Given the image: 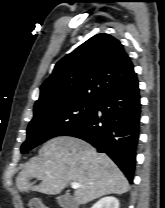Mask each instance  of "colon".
<instances>
[{
    "label": "colon",
    "mask_w": 165,
    "mask_h": 208,
    "mask_svg": "<svg viewBox=\"0 0 165 208\" xmlns=\"http://www.w3.org/2000/svg\"><path fill=\"white\" fill-rule=\"evenodd\" d=\"M30 208H48L41 200L32 199L30 202Z\"/></svg>",
    "instance_id": "colon-1"
}]
</instances>
